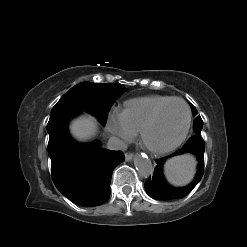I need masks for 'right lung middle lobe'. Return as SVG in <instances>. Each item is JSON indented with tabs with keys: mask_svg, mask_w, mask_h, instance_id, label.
Masks as SVG:
<instances>
[{
	"mask_svg": "<svg viewBox=\"0 0 247 247\" xmlns=\"http://www.w3.org/2000/svg\"><path fill=\"white\" fill-rule=\"evenodd\" d=\"M126 88L120 83L96 84L82 82L65 93L53 107L51 115L66 112H90L105 124L108 112L117 97H120Z\"/></svg>",
	"mask_w": 247,
	"mask_h": 247,
	"instance_id": "dd1d6c3e",
	"label": "right lung middle lobe"
}]
</instances>
